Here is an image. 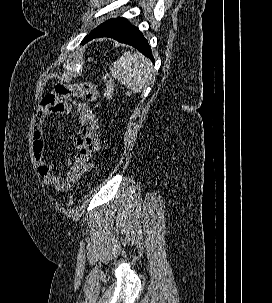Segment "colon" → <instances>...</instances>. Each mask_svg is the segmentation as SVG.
<instances>
[{
  "mask_svg": "<svg viewBox=\"0 0 272 303\" xmlns=\"http://www.w3.org/2000/svg\"><path fill=\"white\" fill-rule=\"evenodd\" d=\"M104 83H105V89L103 93V100L104 102H109L113 98L114 89H115L114 79L109 73L105 74ZM66 204L68 206H72L74 204V199L72 196L67 197Z\"/></svg>",
  "mask_w": 272,
  "mask_h": 303,
  "instance_id": "colon-1",
  "label": "colon"
}]
</instances>
